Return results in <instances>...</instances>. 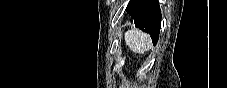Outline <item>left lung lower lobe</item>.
Here are the masks:
<instances>
[{"mask_svg":"<svg viewBox=\"0 0 227 88\" xmlns=\"http://www.w3.org/2000/svg\"><path fill=\"white\" fill-rule=\"evenodd\" d=\"M127 13L134 19L135 27L151 35L156 45L161 27V12L157 0H130Z\"/></svg>","mask_w":227,"mask_h":88,"instance_id":"obj_1","label":"left lung lower lobe"}]
</instances>
